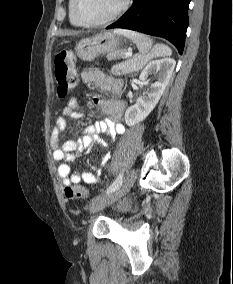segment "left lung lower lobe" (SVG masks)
Listing matches in <instances>:
<instances>
[{
    "mask_svg": "<svg viewBox=\"0 0 233 284\" xmlns=\"http://www.w3.org/2000/svg\"><path fill=\"white\" fill-rule=\"evenodd\" d=\"M191 0H134L119 20L107 27L125 28L169 40L183 53Z\"/></svg>",
    "mask_w": 233,
    "mask_h": 284,
    "instance_id": "left-lung-lower-lobe-1",
    "label": "left lung lower lobe"
}]
</instances>
